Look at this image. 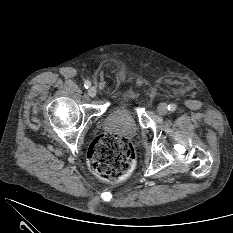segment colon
<instances>
[{
  "label": "colon",
  "instance_id": "colon-1",
  "mask_svg": "<svg viewBox=\"0 0 233 233\" xmlns=\"http://www.w3.org/2000/svg\"><path fill=\"white\" fill-rule=\"evenodd\" d=\"M87 158L90 170L98 178L112 182L125 178L131 172L135 153L126 137L104 133L92 141Z\"/></svg>",
  "mask_w": 233,
  "mask_h": 233
}]
</instances>
